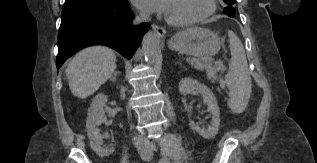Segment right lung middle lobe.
Instances as JSON below:
<instances>
[{
  "instance_id": "obj_1",
  "label": "right lung middle lobe",
  "mask_w": 317,
  "mask_h": 163,
  "mask_svg": "<svg viewBox=\"0 0 317 163\" xmlns=\"http://www.w3.org/2000/svg\"><path fill=\"white\" fill-rule=\"evenodd\" d=\"M125 0H65L61 18L75 16L89 10L108 7Z\"/></svg>"
}]
</instances>
